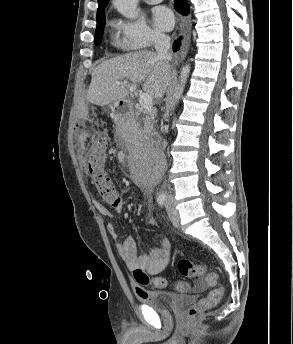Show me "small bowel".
<instances>
[{"label": "small bowel", "instance_id": "c3829d8e", "mask_svg": "<svg viewBox=\"0 0 293 344\" xmlns=\"http://www.w3.org/2000/svg\"><path fill=\"white\" fill-rule=\"evenodd\" d=\"M102 136V135H97ZM91 136L84 132L76 133V143L79 150H84L88 145ZM97 210L104 216L110 217L111 211L102 203L96 202ZM123 209V202L120 201L119 205L117 206V210L121 211ZM149 224L152 226H156V221L151 219ZM107 231L110 237L117 241L118 239V232L116 226L113 223H109L107 225ZM116 249L125 263V265L129 269H142L146 271L149 275L155 276L160 274L166 267L171 253V244L170 241L166 237H162L160 239L159 246L152 250L150 253L146 255L140 256L137 253V244L133 238H127L123 242H116ZM182 292H187L189 290L188 285L183 283L182 287L179 288ZM146 290L142 287L136 286L135 287V294L138 297H143Z\"/></svg>", "mask_w": 293, "mask_h": 344}]
</instances>
